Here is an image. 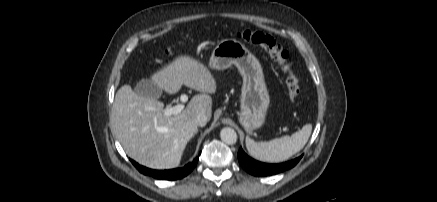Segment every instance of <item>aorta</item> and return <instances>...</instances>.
<instances>
[{
    "label": "aorta",
    "mask_w": 437,
    "mask_h": 202,
    "mask_svg": "<svg viewBox=\"0 0 437 202\" xmlns=\"http://www.w3.org/2000/svg\"><path fill=\"white\" fill-rule=\"evenodd\" d=\"M220 138L224 143L233 145L237 142V133L234 129L225 127L220 132Z\"/></svg>",
    "instance_id": "aorta-1"
}]
</instances>
